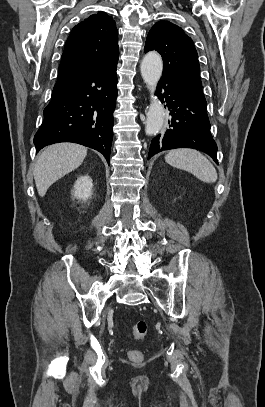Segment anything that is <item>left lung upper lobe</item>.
<instances>
[{"label":"left lung upper lobe","instance_id":"1","mask_svg":"<svg viewBox=\"0 0 265 407\" xmlns=\"http://www.w3.org/2000/svg\"><path fill=\"white\" fill-rule=\"evenodd\" d=\"M156 50L164 62L163 76L206 102L200 80L198 54L182 28L169 21L157 22L149 31L145 52Z\"/></svg>","mask_w":265,"mask_h":407}]
</instances>
